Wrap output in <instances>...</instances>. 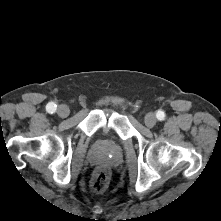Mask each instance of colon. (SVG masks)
<instances>
[{
    "label": "colon",
    "instance_id": "5ec220e1",
    "mask_svg": "<svg viewBox=\"0 0 221 221\" xmlns=\"http://www.w3.org/2000/svg\"><path fill=\"white\" fill-rule=\"evenodd\" d=\"M110 181V171L106 167H99L95 171L94 178L91 182V191L93 193H102L108 186Z\"/></svg>",
    "mask_w": 221,
    "mask_h": 221
}]
</instances>
